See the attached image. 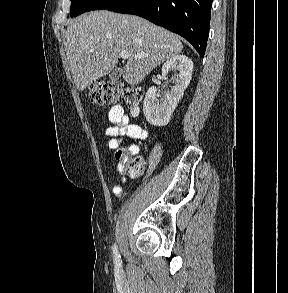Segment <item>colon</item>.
<instances>
[{"instance_id": "5ec220e1", "label": "colon", "mask_w": 288, "mask_h": 293, "mask_svg": "<svg viewBox=\"0 0 288 293\" xmlns=\"http://www.w3.org/2000/svg\"><path fill=\"white\" fill-rule=\"evenodd\" d=\"M143 89L138 86L125 85L118 82L94 81L89 86V96L95 104L122 102L133 115L138 114L143 99ZM128 151L119 149L116 152L118 160H125L124 170L131 176L137 175L143 168L140 157L128 159Z\"/></svg>"}]
</instances>
